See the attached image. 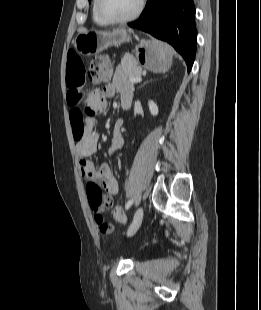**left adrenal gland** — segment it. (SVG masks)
Here are the masks:
<instances>
[{
    "instance_id": "1",
    "label": "left adrenal gland",
    "mask_w": 261,
    "mask_h": 310,
    "mask_svg": "<svg viewBox=\"0 0 261 310\" xmlns=\"http://www.w3.org/2000/svg\"><path fill=\"white\" fill-rule=\"evenodd\" d=\"M146 83H148V82H146ZM146 83H144L142 86H144Z\"/></svg>"
}]
</instances>
